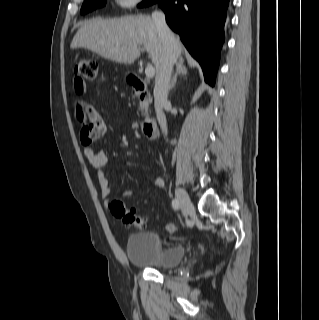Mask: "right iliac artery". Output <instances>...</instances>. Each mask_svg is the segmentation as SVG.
Returning <instances> with one entry per match:
<instances>
[{
	"label": "right iliac artery",
	"mask_w": 319,
	"mask_h": 320,
	"mask_svg": "<svg viewBox=\"0 0 319 320\" xmlns=\"http://www.w3.org/2000/svg\"><path fill=\"white\" fill-rule=\"evenodd\" d=\"M179 207H180V203H179L178 199H173V200H172V208H173L174 210H178Z\"/></svg>",
	"instance_id": "82829eb1"
}]
</instances>
